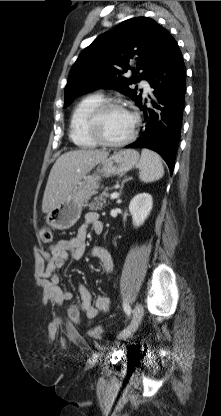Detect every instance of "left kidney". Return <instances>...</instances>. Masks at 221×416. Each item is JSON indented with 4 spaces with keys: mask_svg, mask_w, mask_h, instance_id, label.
Here are the masks:
<instances>
[{
    "mask_svg": "<svg viewBox=\"0 0 221 416\" xmlns=\"http://www.w3.org/2000/svg\"><path fill=\"white\" fill-rule=\"evenodd\" d=\"M153 206L152 196L149 193L137 194L129 204L133 225L141 226L150 214Z\"/></svg>",
    "mask_w": 221,
    "mask_h": 416,
    "instance_id": "left-kidney-1",
    "label": "left kidney"
}]
</instances>
